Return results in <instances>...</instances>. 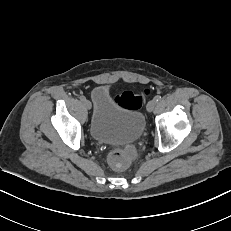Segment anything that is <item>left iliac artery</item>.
Here are the masks:
<instances>
[{
  "instance_id": "1",
  "label": "left iliac artery",
  "mask_w": 231,
  "mask_h": 231,
  "mask_svg": "<svg viewBox=\"0 0 231 231\" xmlns=\"http://www.w3.org/2000/svg\"><path fill=\"white\" fill-rule=\"evenodd\" d=\"M161 98H162V97H161L160 95H157V96L154 97V100H156V102H158V101L161 100Z\"/></svg>"
}]
</instances>
